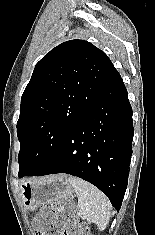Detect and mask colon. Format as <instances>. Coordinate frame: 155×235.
<instances>
[{
	"instance_id": "5ec220e1",
	"label": "colon",
	"mask_w": 155,
	"mask_h": 235,
	"mask_svg": "<svg viewBox=\"0 0 155 235\" xmlns=\"http://www.w3.org/2000/svg\"><path fill=\"white\" fill-rule=\"evenodd\" d=\"M61 223L64 224L62 232ZM33 226L36 235H90L85 224L73 217V204L69 200L56 202L51 207H42Z\"/></svg>"
}]
</instances>
